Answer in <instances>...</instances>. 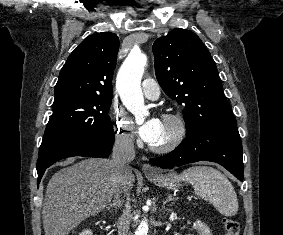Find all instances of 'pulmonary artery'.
Wrapping results in <instances>:
<instances>
[{
  "mask_svg": "<svg viewBox=\"0 0 283 235\" xmlns=\"http://www.w3.org/2000/svg\"><path fill=\"white\" fill-rule=\"evenodd\" d=\"M144 96L150 100H156L160 96V88L152 78H145L141 83Z\"/></svg>",
  "mask_w": 283,
  "mask_h": 235,
  "instance_id": "1",
  "label": "pulmonary artery"
}]
</instances>
